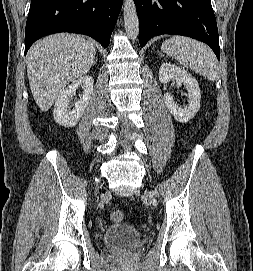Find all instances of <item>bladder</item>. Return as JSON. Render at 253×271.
I'll return each mask as SVG.
<instances>
[{
    "label": "bladder",
    "instance_id": "31cf9c89",
    "mask_svg": "<svg viewBox=\"0 0 253 271\" xmlns=\"http://www.w3.org/2000/svg\"><path fill=\"white\" fill-rule=\"evenodd\" d=\"M101 241L107 249H134L141 244V234L132 224L113 223L106 228Z\"/></svg>",
    "mask_w": 253,
    "mask_h": 271
}]
</instances>
